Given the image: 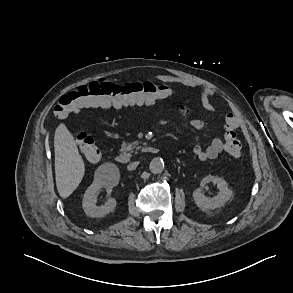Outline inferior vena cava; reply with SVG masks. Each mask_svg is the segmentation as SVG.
<instances>
[{
	"mask_svg": "<svg viewBox=\"0 0 293 293\" xmlns=\"http://www.w3.org/2000/svg\"><path fill=\"white\" fill-rule=\"evenodd\" d=\"M138 164H139L138 161H136V162H132V163H130V164L127 166V169H128L129 171H131V170H135L136 167L138 166Z\"/></svg>",
	"mask_w": 293,
	"mask_h": 293,
	"instance_id": "inferior-vena-cava-1",
	"label": "inferior vena cava"
}]
</instances>
